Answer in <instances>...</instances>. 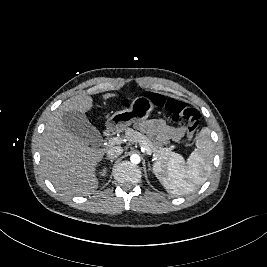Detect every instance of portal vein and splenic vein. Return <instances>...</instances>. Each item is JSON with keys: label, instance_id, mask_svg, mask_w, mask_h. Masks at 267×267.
<instances>
[{"label": "portal vein and splenic vein", "instance_id": "portal-vein-and-splenic-vein-1", "mask_svg": "<svg viewBox=\"0 0 267 267\" xmlns=\"http://www.w3.org/2000/svg\"><path fill=\"white\" fill-rule=\"evenodd\" d=\"M109 143L110 144H120L121 143V139L117 138V137H113V138L109 139ZM141 151L142 152H146L148 155H151V151L147 147L141 146Z\"/></svg>", "mask_w": 267, "mask_h": 267}]
</instances>
